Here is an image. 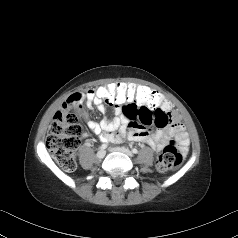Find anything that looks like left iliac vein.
Wrapping results in <instances>:
<instances>
[{"label":"left iliac vein","instance_id":"4c4485c4","mask_svg":"<svg viewBox=\"0 0 238 238\" xmlns=\"http://www.w3.org/2000/svg\"><path fill=\"white\" fill-rule=\"evenodd\" d=\"M110 151H118V152L124 153L125 155H127L129 157L133 156V153L129 149L124 148V147L111 148Z\"/></svg>","mask_w":238,"mask_h":238}]
</instances>
